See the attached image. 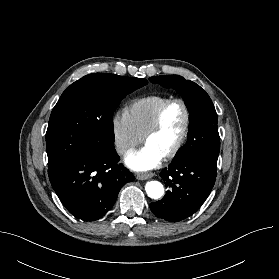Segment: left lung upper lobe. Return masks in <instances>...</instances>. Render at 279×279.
<instances>
[{
	"instance_id": "1",
	"label": "left lung upper lobe",
	"mask_w": 279,
	"mask_h": 279,
	"mask_svg": "<svg viewBox=\"0 0 279 279\" xmlns=\"http://www.w3.org/2000/svg\"><path fill=\"white\" fill-rule=\"evenodd\" d=\"M165 88L177 90L184 98L189 110L188 140L174 158L193 157L217 166L220 137L217 113L208 94L196 83L179 75H163L149 78Z\"/></svg>"
}]
</instances>
